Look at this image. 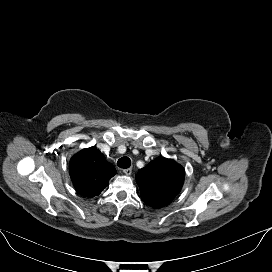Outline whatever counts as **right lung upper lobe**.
<instances>
[{"instance_id":"cb5924a9","label":"right lung upper lobe","mask_w":272,"mask_h":272,"mask_svg":"<svg viewBox=\"0 0 272 272\" xmlns=\"http://www.w3.org/2000/svg\"><path fill=\"white\" fill-rule=\"evenodd\" d=\"M70 177L79 194L94 197L108 185L117 172L95 147L83 149L70 160Z\"/></svg>"}]
</instances>
